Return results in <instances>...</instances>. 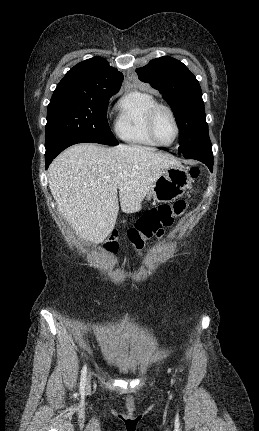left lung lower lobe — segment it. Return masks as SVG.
I'll use <instances>...</instances> for the list:
<instances>
[{"mask_svg": "<svg viewBox=\"0 0 259 431\" xmlns=\"http://www.w3.org/2000/svg\"><path fill=\"white\" fill-rule=\"evenodd\" d=\"M178 155L183 156L185 158H191V159L199 160V161L205 163L211 172L213 171V153H212V150H197V151H192L189 153L178 154Z\"/></svg>", "mask_w": 259, "mask_h": 431, "instance_id": "obj_1", "label": "left lung lower lobe"}]
</instances>
